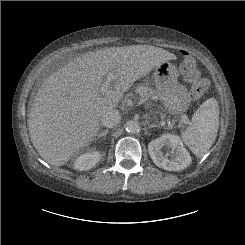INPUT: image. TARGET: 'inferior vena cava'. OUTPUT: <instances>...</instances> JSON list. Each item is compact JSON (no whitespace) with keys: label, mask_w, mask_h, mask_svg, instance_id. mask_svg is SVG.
I'll return each mask as SVG.
<instances>
[{"label":"inferior vena cava","mask_w":245,"mask_h":245,"mask_svg":"<svg viewBox=\"0 0 245 245\" xmlns=\"http://www.w3.org/2000/svg\"><path fill=\"white\" fill-rule=\"evenodd\" d=\"M121 120V115L118 110L111 109L106 111L102 118H101V123L103 126L107 128H113L119 124Z\"/></svg>","instance_id":"obj_1"}]
</instances>
